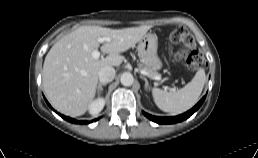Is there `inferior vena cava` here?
Here are the masks:
<instances>
[{
    "mask_svg": "<svg viewBox=\"0 0 258 158\" xmlns=\"http://www.w3.org/2000/svg\"><path fill=\"white\" fill-rule=\"evenodd\" d=\"M116 72L113 67H103L98 72V78L102 83H109L115 78Z\"/></svg>",
    "mask_w": 258,
    "mask_h": 158,
    "instance_id": "602c4592",
    "label": "inferior vena cava"
}]
</instances>
